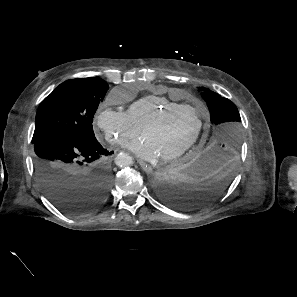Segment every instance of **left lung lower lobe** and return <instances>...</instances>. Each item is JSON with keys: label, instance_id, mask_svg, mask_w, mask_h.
Instances as JSON below:
<instances>
[{"label": "left lung lower lobe", "instance_id": "0a47b994", "mask_svg": "<svg viewBox=\"0 0 297 297\" xmlns=\"http://www.w3.org/2000/svg\"><path fill=\"white\" fill-rule=\"evenodd\" d=\"M235 169L236 154L205 146L176 166L157 173L154 189L165 204L195 210L213 203L227 190Z\"/></svg>", "mask_w": 297, "mask_h": 297}]
</instances>
